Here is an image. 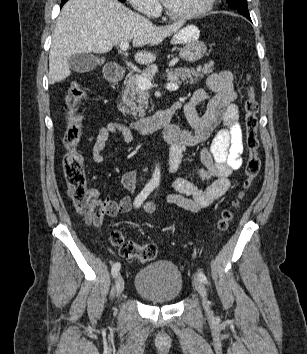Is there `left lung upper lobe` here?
<instances>
[{
	"instance_id": "obj_1",
	"label": "left lung upper lobe",
	"mask_w": 307,
	"mask_h": 354,
	"mask_svg": "<svg viewBox=\"0 0 307 354\" xmlns=\"http://www.w3.org/2000/svg\"><path fill=\"white\" fill-rule=\"evenodd\" d=\"M230 7L236 9L241 15L246 18H250L248 8H247V0H227Z\"/></svg>"
}]
</instances>
